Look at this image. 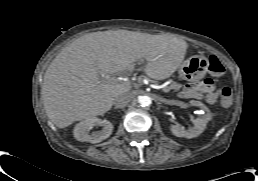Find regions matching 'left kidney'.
I'll use <instances>...</instances> for the list:
<instances>
[{
	"mask_svg": "<svg viewBox=\"0 0 258 181\" xmlns=\"http://www.w3.org/2000/svg\"><path fill=\"white\" fill-rule=\"evenodd\" d=\"M190 104L201 108V116L193 121V127L186 130L183 126L172 125L171 132L177 137L194 138L200 135L205 129L212 115L209 109L200 101L191 100Z\"/></svg>",
	"mask_w": 258,
	"mask_h": 181,
	"instance_id": "obj_1",
	"label": "left kidney"
}]
</instances>
